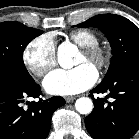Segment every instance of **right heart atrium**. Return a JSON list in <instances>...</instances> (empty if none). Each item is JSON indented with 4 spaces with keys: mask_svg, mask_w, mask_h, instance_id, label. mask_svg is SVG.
Returning <instances> with one entry per match:
<instances>
[{
    "mask_svg": "<svg viewBox=\"0 0 139 139\" xmlns=\"http://www.w3.org/2000/svg\"><path fill=\"white\" fill-rule=\"evenodd\" d=\"M26 68L38 77L44 76L56 65V46L53 38L44 34L30 41L23 50Z\"/></svg>",
    "mask_w": 139,
    "mask_h": 139,
    "instance_id": "d8ad5b80",
    "label": "right heart atrium"
}]
</instances>
